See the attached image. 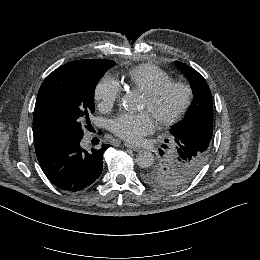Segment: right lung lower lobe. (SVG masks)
<instances>
[{
    "label": "right lung lower lobe",
    "instance_id": "1",
    "mask_svg": "<svg viewBox=\"0 0 260 260\" xmlns=\"http://www.w3.org/2000/svg\"><path fill=\"white\" fill-rule=\"evenodd\" d=\"M82 138H61L36 147L39 164L48 179L67 192L83 190L99 178L103 168V154L110 146L85 150Z\"/></svg>",
    "mask_w": 260,
    "mask_h": 260
}]
</instances>
